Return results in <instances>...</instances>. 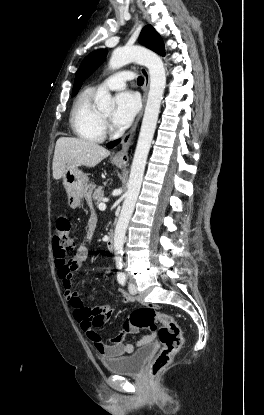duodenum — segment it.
<instances>
[{
  "instance_id": "obj_1",
  "label": "duodenum",
  "mask_w": 264,
  "mask_h": 415,
  "mask_svg": "<svg viewBox=\"0 0 264 415\" xmlns=\"http://www.w3.org/2000/svg\"><path fill=\"white\" fill-rule=\"evenodd\" d=\"M89 224H90V225L94 228V227L96 226V219H95V218H92V219L89 221ZM114 240H115V237H114V234H113V233H110V234L107 236L106 240H105L106 247H107V249H108L109 251H111V252H113V251H114V249H115V242H114Z\"/></svg>"
}]
</instances>
